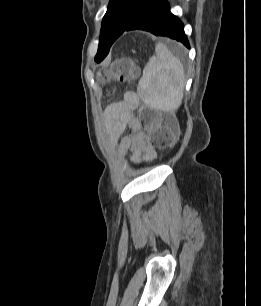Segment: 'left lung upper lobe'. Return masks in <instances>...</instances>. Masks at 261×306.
Instances as JSON below:
<instances>
[{"label":"left lung upper lobe","instance_id":"left-lung-upper-lobe-1","mask_svg":"<svg viewBox=\"0 0 261 306\" xmlns=\"http://www.w3.org/2000/svg\"><path fill=\"white\" fill-rule=\"evenodd\" d=\"M146 0H110L102 21L95 61L101 62Z\"/></svg>","mask_w":261,"mask_h":306}]
</instances>
